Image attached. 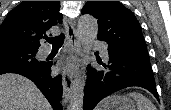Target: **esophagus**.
I'll return each mask as SVG.
<instances>
[{
    "label": "esophagus",
    "mask_w": 171,
    "mask_h": 110,
    "mask_svg": "<svg viewBox=\"0 0 171 110\" xmlns=\"http://www.w3.org/2000/svg\"><path fill=\"white\" fill-rule=\"evenodd\" d=\"M64 27L66 32V40L70 56L63 65L62 85L63 99L67 102L76 89L77 68L74 65L80 54V44L74 23L68 18H64Z\"/></svg>",
    "instance_id": "34e87169"
}]
</instances>
